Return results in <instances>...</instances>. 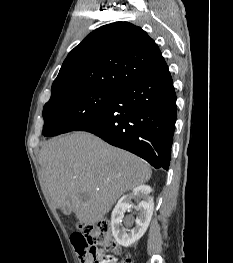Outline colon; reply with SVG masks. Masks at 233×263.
Here are the masks:
<instances>
[{"label":"colon","mask_w":233,"mask_h":263,"mask_svg":"<svg viewBox=\"0 0 233 263\" xmlns=\"http://www.w3.org/2000/svg\"><path fill=\"white\" fill-rule=\"evenodd\" d=\"M71 241L82 263H106L111 254L119 253V247L111 235L110 223L107 220L73 232ZM123 263L130 261L125 260Z\"/></svg>","instance_id":"obj_1"}]
</instances>
